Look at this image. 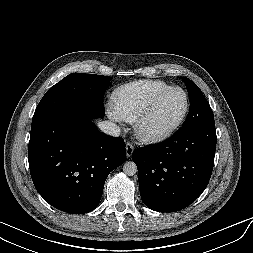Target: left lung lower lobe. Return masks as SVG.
I'll return each instance as SVG.
<instances>
[{
  "mask_svg": "<svg viewBox=\"0 0 253 253\" xmlns=\"http://www.w3.org/2000/svg\"><path fill=\"white\" fill-rule=\"evenodd\" d=\"M215 123L178 130L159 144L137 148L142 201L152 210L176 212L195 201L206 188L213 170L216 150Z\"/></svg>",
  "mask_w": 253,
  "mask_h": 253,
  "instance_id": "1",
  "label": "left lung lower lobe"
}]
</instances>
